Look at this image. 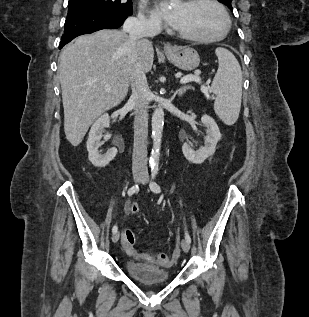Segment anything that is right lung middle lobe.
Wrapping results in <instances>:
<instances>
[{
	"mask_svg": "<svg viewBox=\"0 0 309 317\" xmlns=\"http://www.w3.org/2000/svg\"><path fill=\"white\" fill-rule=\"evenodd\" d=\"M68 8L109 11L128 16L133 13L131 0H69Z\"/></svg>",
	"mask_w": 309,
	"mask_h": 317,
	"instance_id": "obj_1",
	"label": "right lung middle lobe"
}]
</instances>
